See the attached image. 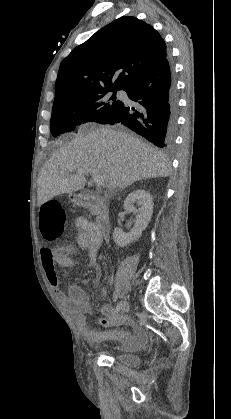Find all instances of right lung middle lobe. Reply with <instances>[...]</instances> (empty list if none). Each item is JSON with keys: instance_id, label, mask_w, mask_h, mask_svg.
I'll return each mask as SVG.
<instances>
[{"instance_id": "obj_1", "label": "right lung middle lobe", "mask_w": 231, "mask_h": 419, "mask_svg": "<svg viewBox=\"0 0 231 419\" xmlns=\"http://www.w3.org/2000/svg\"><path fill=\"white\" fill-rule=\"evenodd\" d=\"M115 89L69 98L53 103L50 130L54 137L86 122L101 123L122 104L116 100ZM114 92L109 98L107 93Z\"/></svg>"}]
</instances>
